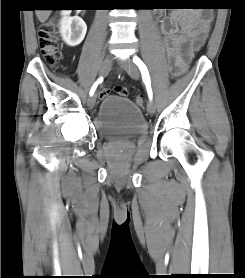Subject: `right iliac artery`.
<instances>
[{
	"instance_id": "82829eb1",
	"label": "right iliac artery",
	"mask_w": 245,
	"mask_h": 278,
	"mask_svg": "<svg viewBox=\"0 0 245 278\" xmlns=\"http://www.w3.org/2000/svg\"><path fill=\"white\" fill-rule=\"evenodd\" d=\"M102 81H103V78L100 77V78L93 84V86H92L91 89H90V96H92V95L95 93V90H96L98 84L101 83Z\"/></svg>"
}]
</instances>
